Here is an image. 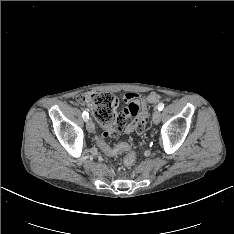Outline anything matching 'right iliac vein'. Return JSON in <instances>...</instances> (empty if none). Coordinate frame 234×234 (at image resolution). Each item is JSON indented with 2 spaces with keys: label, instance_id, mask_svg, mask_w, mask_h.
I'll use <instances>...</instances> for the list:
<instances>
[{
  "label": "right iliac vein",
  "instance_id": "63e3f726",
  "mask_svg": "<svg viewBox=\"0 0 234 234\" xmlns=\"http://www.w3.org/2000/svg\"><path fill=\"white\" fill-rule=\"evenodd\" d=\"M86 128L90 133H93L95 131V125L92 122V120H88L86 123Z\"/></svg>",
  "mask_w": 234,
  "mask_h": 234
}]
</instances>
